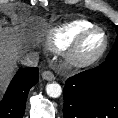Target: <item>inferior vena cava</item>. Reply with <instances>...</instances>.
Returning a JSON list of instances; mask_svg holds the SVG:
<instances>
[{"label": "inferior vena cava", "mask_w": 118, "mask_h": 118, "mask_svg": "<svg viewBox=\"0 0 118 118\" xmlns=\"http://www.w3.org/2000/svg\"><path fill=\"white\" fill-rule=\"evenodd\" d=\"M38 55L36 53H28L20 60L21 64L27 67H36L38 65Z\"/></svg>", "instance_id": "602c4592"}]
</instances>
